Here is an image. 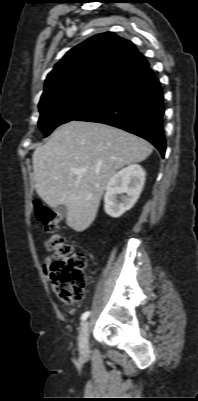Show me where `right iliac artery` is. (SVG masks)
Returning a JSON list of instances; mask_svg holds the SVG:
<instances>
[{
  "label": "right iliac artery",
  "mask_w": 198,
  "mask_h": 401,
  "mask_svg": "<svg viewBox=\"0 0 198 401\" xmlns=\"http://www.w3.org/2000/svg\"><path fill=\"white\" fill-rule=\"evenodd\" d=\"M89 314H90L89 311L84 312V313L82 314V316H81V320H82V321H85V320L88 318Z\"/></svg>",
  "instance_id": "1"
}]
</instances>
